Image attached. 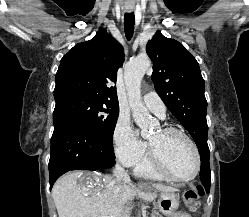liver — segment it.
I'll return each mask as SVG.
<instances>
[{
	"label": "liver",
	"mask_w": 249,
	"mask_h": 217,
	"mask_svg": "<svg viewBox=\"0 0 249 217\" xmlns=\"http://www.w3.org/2000/svg\"><path fill=\"white\" fill-rule=\"evenodd\" d=\"M86 179V185L77 184L78 179ZM120 192L115 197V189ZM160 192L176 189L162 184H152ZM135 196L144 201H153L157 193L142 192L130 181H116L112 176L97 172L75 171L59 178L53 186L52 197L58 217H123L125 204Z\"/></svg>",
	"instance_id": "6515ba94"
}]
</instances>
